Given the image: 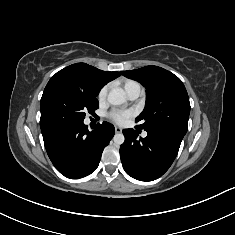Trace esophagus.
Segmentation results:
<instances>
[{"label": "esophagus", "mask_w": 235, "mask_h": 235, "mask_svg": "<svg viewBox=\"0 0 235 235\" xmlns=\"http://www.w3.org/2000/svg\"><path fill=\"white\" fill-rule=\"evenodd\" d=\"M115 132L116 133H121L122 132V128L115 126Z\"/></svg>", "instance_id": "esophagus-1"}]
</instances>
